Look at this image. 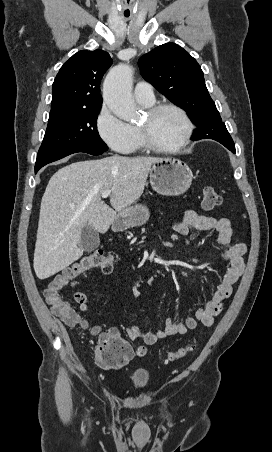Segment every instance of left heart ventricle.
<instances>
[{
  "label": "left heart ventricle",
  "mask_w": 272,
  "mask_h": 452,
  "mask_svg": "<svg viewBox=\"0 0 272 452\" xmlns=\"http://www.w3.org/2000/svg\"><path fill=\"white\" fill-rule=\"evenodd\" d=\"M148 131L150 139L158 145L176 144L184 133V122L180 115L172 110H162L141 122Z\"/></svg>",
  "instance_id": "left-heart-ventricle-1"
}]
</instances>
